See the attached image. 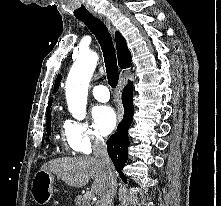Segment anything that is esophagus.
<instances>
[{
	"label": "esophagus",
	"instance_id": "obj_1",
	"mask_svg": "<svg viewBox=\"0 0 221 206\" xmlns=\"http://www.w3.org/2000/svg\"><path fill=\"white\" fill-rule=\"evenodd\" d=\"M95 17H97L98 19H100L108 28L111 32H113V29H112V26H111V23H110V20L103 16V15H100V14H94ZM124 83V79L121 78L120 80V85L122 86Z\"/></svg>",
	"mask_w": 221,
	"mask_h": 206
}]
</instances>
